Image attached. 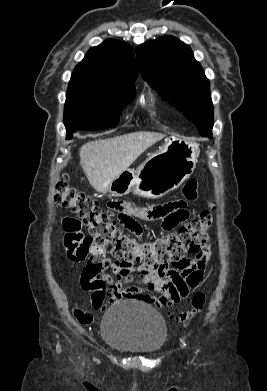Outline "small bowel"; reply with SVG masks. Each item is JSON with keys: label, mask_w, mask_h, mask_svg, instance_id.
I'll return each mask as SVG.
<instances>
[{"label": "small bowel", "mask_w": 267, "mask_h": 391, "mask_svg": "<svg viewBox=\"0 0 267 391\" xmlns=\"http://www.w3.org/2000/svg\"><path fill=\"white\" fill-rule=\"evenodd\" d=\"M183 196L182 199L146 209H136L131 204L119 200L109 202L108 208L118 214L119 223L136 237L142 235L143 229L134 219V215L148 220H161L162 230L170 234L190 218L187 207L188 202L197 197L195 180L185 184ZM62 226L66 233L64 247L68 259L73 262L87 260L81 276V285L84 290L92 292L91 305L94 310H101L106 300L113 302L123 297L141 300L159 308L185 300L190 290L202 282L210 257V247L207 244L194 257L185 258L180 265H166L158 271L151 272L142 266H125L100 252L82 253L77 240L85 235L79 220L65 217ZM109 271L114 276H111ZM134 275L141 278L140 286L131 284ZM74 315L82 324L90 323L93 319L90 312L81 309H76Z\"/></svg>", "instance_id": "1"}]
</instances>
